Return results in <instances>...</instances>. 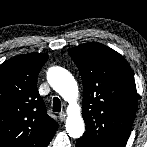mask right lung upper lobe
<instances>
[{
    "mask_svg": "<svg viewBox=\"0 0 147 147\" xmlns=\"http://www.w3.org/2000/svg\"><path fill=\"white\" fill-rule=\"evenodd\" d=\"M46 53L23 54L0 65V147H47L58 124L37 90Z\"/></svg>",
    "mask_w": 147,
    "mask_h": 147,
    "instance_id": "obj_1",
    "label": "right lung upper lobe"
}]
</instances>
